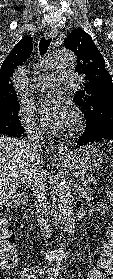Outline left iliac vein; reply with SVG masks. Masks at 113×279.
Returning <instances> with one entry per match:
<instances>
[{"label": "left iliac vein", "instance_id": "1", "mask_svg": "<svg viewBox=\"0 0 113 279\" xmlns=\"http://www.w3.org/2000/svg\"><path fill=\"white\" fill-rule=\"evenodd\" d=\"M47 279H57V278H56V277H54V276H52V275H50V274H48Z\"/></svg>", "mask_w": 113, "mask_h": 279}]
</instances>
